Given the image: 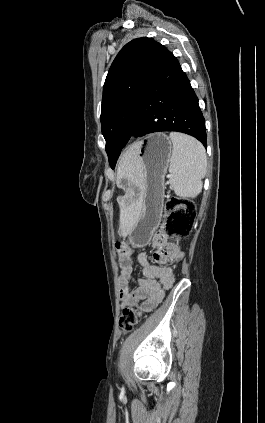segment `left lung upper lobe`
Wrapping results in <instances>:
<instances>
[{"label": "left lung upper lobe", "mask_w": 265, "mask_h": 423, "mask_svg": "<svg viewBox=\"0 0 265 423\" xmlns=\"http://www.w3.org/2000/svg\"><path fill=\"white\" fill-rule=\"evenodd\" d=\"M161 46L152 38L134 39L120 50L109 69L100 120L111 168L129 140L138 99Z\"/></svg>", "instance_id": "left-lung-upper-lobe-1"}]
</instances>
